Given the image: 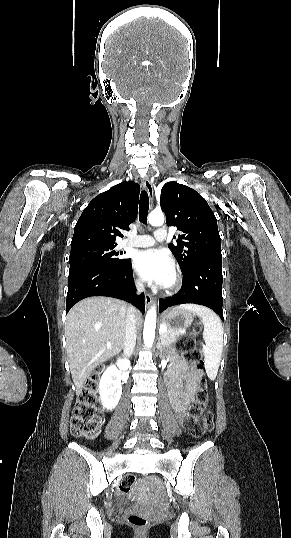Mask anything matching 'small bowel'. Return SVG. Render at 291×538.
<instances>
[{
    "label": "small bowel",
    "mask_w": 291,
    "mask_h": 538,
    "mask_svg": "<svg viewBox=\"0 0 291 538\" xmlns=\"http://www.w3.org/2000/svg\"><path fill=\"white\" fill-rule=\"evenodd\" d=\"M167 383L172 404L178 415L181 416L184 405L194 401L198 384L197 372L184 361L178 359L174 362L172 370L167 376Z\"/></svg>",
    "instance_id": "c3829d8e"
}]
</instances>
